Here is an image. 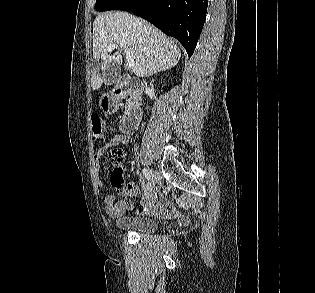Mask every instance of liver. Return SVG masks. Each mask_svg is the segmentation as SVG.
I'll return each instance as SVG.
<instances>
[{
  "instance_id": "1",
  "label": "liver",
  "mask_w": 315,
  "mask_h": 293,
  "mask_svg": "<svg viewBox=\"0 0 315 293\" xmlns=\"http://www.w3.org/2000/svg\"><path fill=\"white\" fill-rule=\"evenodd\" d=\"M116 43L111 59L122 62V50H127L135 61L133 72L137 77H149L174 67L181 52L174 40L147 21L125 12H107L98 15L93 23V58H106L107 47ZM106 80V73L92 77V88L98 89Z\"/></svg>"
}]
</instances>
